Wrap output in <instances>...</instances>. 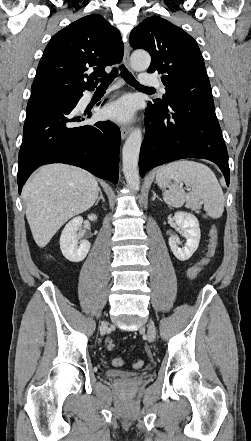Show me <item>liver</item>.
Returning <instances> with one entry per match:
<instances>
[{
	"label": "liver",
	"mask_w": 251,
	"mask_h": 441,
	"mask_svg": "<svg viewBox=\"0 0 251 441\" xmlns=\"http://www.w3.org/2000/svg\"><path fill=\"white\" fill-rule=\"evenodd\" d=\"M99 190L96 178L81 168L65 164L39 168L22 190L36 244L45 247L65 222L91 208Z\"/></svg>",
	"instance_id": "6515ba94"
}]
</instances>
